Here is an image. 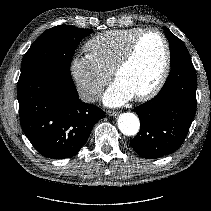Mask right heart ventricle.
Masks as SVG:
<instances>
[{"mask_svg":"<svg viewBox=\"0 0 211 211\" xmlns=\"http://www.w3.org/2000/svg\"><path fill=\"white\" fill-rule=\"evenodd\" d=\"M141 30L142 28L134 27L103 32L86 43V50L102 70L111 74L133 38Z\"/></svg>","mask_w":211,"mask_h":211,"instance_id":"e07e8e85","label":"right heart ventricle"}]
</instances>
